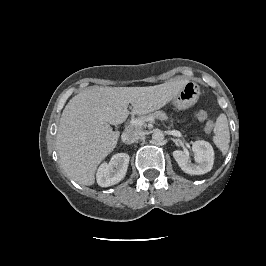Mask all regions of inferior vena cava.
I'll return each mask as SVG.
<instances>
[{"label": "inferior vena cava", "mask_w": 266, "mask_h": 266, "mask_svg": "<svg viewBox=\"0 0 266 266\" xmlns=\"http://www.w3.org/2000/svg\"><path fill=\"white\" fill-rule=\"evenodd\" d=\"M142 138V132L137 130H126L121 135V140L125 144H133Z\"/></svg>", "instance_id": "602c4592"}]
</instances>
